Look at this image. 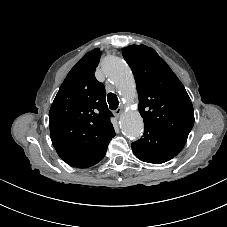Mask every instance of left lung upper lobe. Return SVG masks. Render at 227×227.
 I'll use <instances>...</instances> for the list:
<instances>
[{"instance_id": "1", "label": "left lung upper lobe", "mask_w": 227, "mask_h": 227, "mask_svg": "<svg viewBox=\"0 0 227 227\" xmlns=\"http://www.w3.org/2000/svg\"><path fill=\"white\" fill-rule=\"evenodd\" d=\"M123 56L135 77L144 126L187 141L194 125V111L174 72L155 50L145 45L125 47Z\"/></svg>"}]
</instances>
